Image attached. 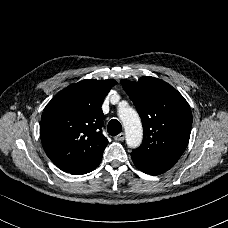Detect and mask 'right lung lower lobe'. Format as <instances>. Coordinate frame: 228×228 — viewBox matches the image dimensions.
Returning <instances> with one entry per match:
<instances>
[{"label": "right lung lower lobe", "mask_w": 228, "mask_h": 228, "mask_svg": "<svg viewBox=\"0 0 228 228\" xmlns=\"http://www.w3.org/2000/svg\"><path fill=\"white\" fill-rule=\"evenodd\" d=\"M102 155H100L99 157L94 159L91 163L87 164L86 166L79 168L77 170L70 171L68 173L73 174V175H81V174H86V173L93 171L100 164V162L102 160Z\"/></svg>", "instance_id": "right-lung-lower-lobe-1"}]
</instances>
